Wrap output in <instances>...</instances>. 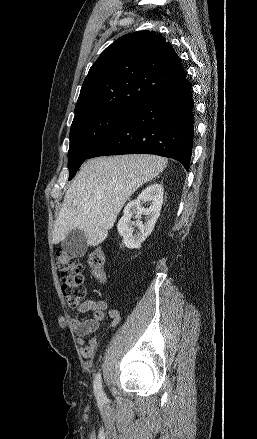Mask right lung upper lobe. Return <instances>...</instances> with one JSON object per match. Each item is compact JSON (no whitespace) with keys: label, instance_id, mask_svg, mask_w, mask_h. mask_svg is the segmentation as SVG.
Wrapping results in <instances>:
<instances>
[{"label":"right lung upper lobe","instance_id":"1","mask_svg":"<svg viewBox=\"0 0 257 439\" xmlns=\"http://www.w3.org/2000/svg\"><path fill=\"white\" fill-rule=\"evenodd\" d=\"M186 78L170 43L154 31L126 34L107 47L86 76L75 116L93 111L133 113Z\"/></svg>","mask_w":257,"mask_h":439}]
</instances>
